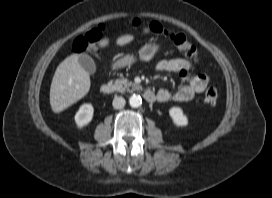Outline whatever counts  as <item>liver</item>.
<instances>
[{
	"mask_svg": "<svg viewBox=\"0 0 272 198\" xmlns=\"http://www.w3.org/2000/svg\"><path fill=\"white\" fill-rule=\"evenodd\" d=\"M134 39L133 35H123L117 38L119 46L126 45ZM108 39L102 40L99 45L105 47ZM89 73L80 65L79 56L72 54L57 67L50 87V105L55 113L62 112L72 104L83 98L90 89Z\"/></svg>",
	"mask_w": 272,
	"mask_h": 198,
	"instance_id": "obj_1",
	"label": "liver"
}]
</instances>
